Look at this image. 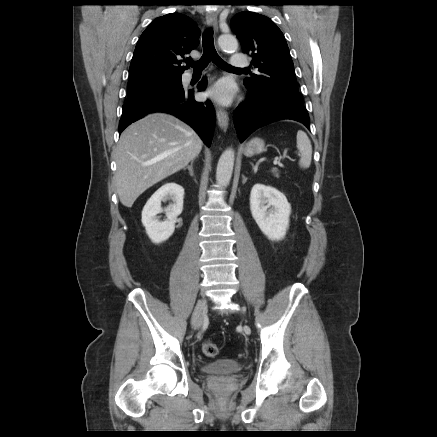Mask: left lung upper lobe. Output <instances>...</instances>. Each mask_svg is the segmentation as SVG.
I'll return each instance as SVG.
<instances>
[{
    "mask_svg": "<svg viewBox=\"0 0 437 437\" xmlns=\"http://www.w3.org/2000/svg\"><path fill=\"white\" fill-rule=\"evenodd\" d=\"M244 53L252 56L259 74L244 79L249 93L276 96L302 102L286 40L281 30L268 17L244 11L231 20Z\"/></svg>",
    "mask_w": 437,
    "mask_h": 437,
    "instance_id": "5c2ea615",
    "label": "left lung upper lobe"
}]
</instances>
